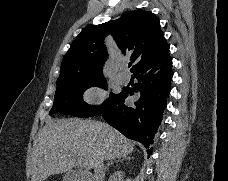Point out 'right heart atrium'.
I'll use <instances>...</instances> for the list:
<instances>
[{
    "instance_id": "1",
    "label": "right heart atrium",
    "mask_w": 228,
    "mask_h": 181,
    "mask_svg": "<svg viewBox=\"0 0 228 181\" xmlns=\"http://www.w3.org/2000/svg\"><path fill=\"white\" fill-rule=\"evenodd\" d=\"M104 97V91L101 88H93L86 94L89 102L101 101Z\"/></svg>"
}]
</instances>
